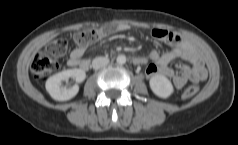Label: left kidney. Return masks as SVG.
Segmentation results:
<instances>
[{"label":"left kidney","instance_id":"obj_1","mask_svg":"<svg viewBox=\"0 0 238 145\" xmlns=\"http://www.w3.org/2000/svg\"><path fill=\"white\" fill-rule=\"evenodd\" d=\"M149 84L153 93L161 98H168L174 92L172 83L163 75L151 77Z\"/></svg>","mask_w":238,"mask_h":145}]
</instances>
